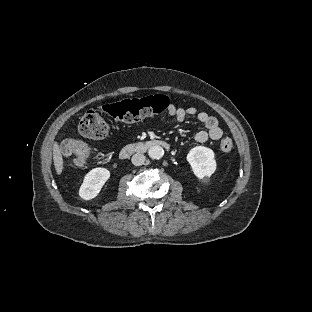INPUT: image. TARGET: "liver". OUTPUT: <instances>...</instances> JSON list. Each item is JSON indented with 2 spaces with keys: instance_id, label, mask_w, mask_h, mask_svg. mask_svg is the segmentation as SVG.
Masks as SVG:
<instances>
[{
  "instance_id": "liver-1",
  "label": "liver",
  "mask_w": 312,
  "mask_h": 312,
  "mask_svg": "<svg viewBox=\"0 0 312 312\" xmlns=\"http://www.w3.org/2000/svg\"><path fill=\"white\" fill-rule=\"evenodd\" d=\"M62 148L57 139L52 144L53 164L57 176H61L64 171V159L62 154Z\"/></svg>"
}]
</instances>
